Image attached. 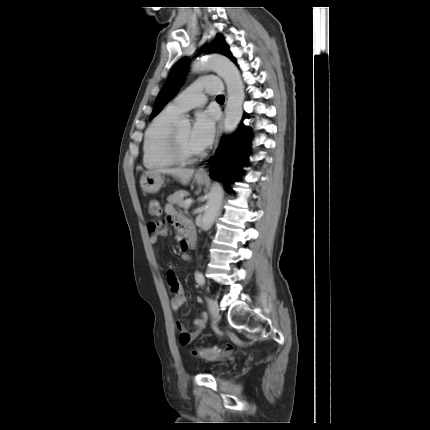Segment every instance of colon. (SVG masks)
Here are the masks:
<instances>
[{
	"label": "colon",
	"instance_id": "colon-1",
	"mask_svg": "<svg viewBox=\"0 0 430 430\" xmlns=\"http://www.w3.org/2000/svg\"><path fill=\"white\" fill-rule=\"evenodd\" d=\"M149 212L155 217L161 215V208L158 201L151 200L149 202ZM233 351L234 350L231 345H227L223 349L217 347H197L194 349L193 355L202 359L215 361L231 355ZM183 387H185V384H183Z\"/></svg>",
	"mask_w": 430,
	"mask_h": 430
}]
</instances>
